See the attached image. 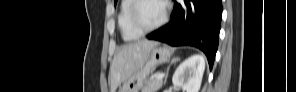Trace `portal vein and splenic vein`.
I'll return each instance as SVG.
<instances>
[{
	"mask_svg": "<svg viewBox=\"0 0 296 92\" xmlns=\"http://www.w3.org/2000/svg\"><path fill=\"white\" fill-rule=\"evenodd\" d=\"M163 77H164V73H162V74H159V75L157 76V80H162V79H163Z\"/></svg>",
	"mask_w": 296,
	"mask_h": 92,
	"instance_id": "portal-vein-and-splenic-vein-1",
	"label": "portal vein and splenic vein"
}]
</instances>
